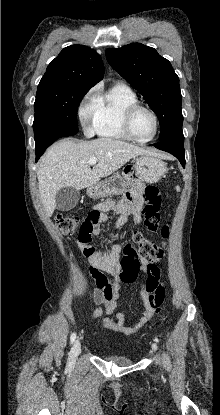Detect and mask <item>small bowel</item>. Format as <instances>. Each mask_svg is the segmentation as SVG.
<instances>
[{
  "instance_id": "c3829d8e",
  "label": "small bowel",
  "mask_w": 220,
  "mask_h": 415,
  "mask_svg": "<svg viewBox=\"0 0 220 415\" xmlns=\"http://www.w3.org/2000/svg\"><path fill=\"white\" fill-rule=\"evenodd\" d=\"M143 185L135 182L133 189L128 190L123 198L117 204L103 202L96 205L89 214L96 215V218L87 226L89 229V238L83 231L78 232L76 243L84 253L89 262V272L91 277L96 281L95 288L91 295L93 300L102 307L96 308L92 312L93 318H101L103 314L106 316L101 319L102 326L106 329L123 332L127 336L136 334L143 326L149 323L152 318L158 314L162 308H155L148 300V294L143 286L139 298L143 305L142 315L133 325H126L123 313H116L117 300L122 285L120 279V250L119 244H113L109 249H97L91 245L93 235L100 233V226L107 221L109 212L118 214L116 228L119 230L127 222L130 216L133 217L135 223H141V210L144 204ZM85 220V219H83ZM141 270L147 273L148 262L141 260ZM106 275L113 277V281L109 282Z\"/></svg>"
}]
</instances>
